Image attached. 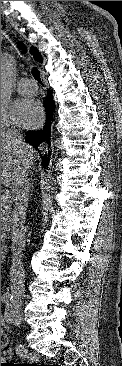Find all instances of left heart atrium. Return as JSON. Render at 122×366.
<instances>
[{"instance_id": "obj_1", "label": "left heart atrium", "mask_w": 122, "mask_h": 366, "mask_svg": "<svg viewBox=\"0 0 122 366\" xmlns=\"http://www.w3.org/2000/svg\"><path fill=\"white\" fill-rule=\"evenodd\" d=\"M12 118L16 125L35 126L43 118V109L40 103L32 98H19L13 104Z\"/></svg>"}]
</instances>
